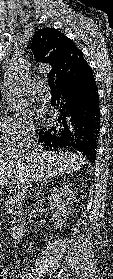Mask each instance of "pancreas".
Listing matches in <instances>:
<instances>
[{"label": "pancreas", "instance_id": "obj_1", "mask_svg": "<svg viewBox=\"0 0 113 279\" xmlns=\"http://www.w3.org/2000/svg\"><path fill=\"white\" fill-rule=\"evenodd\" d=\"M22 199L19 196L13 195L8 196L7 200L5 201L4 207L9 212H12L15 217H13V224L18 221V216L22 212Z\"/></svg>", "mask_w": 113, "mask_h": 279}]
</instances>
